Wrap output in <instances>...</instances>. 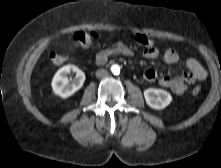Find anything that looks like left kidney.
Here are the masks:
<instances>
[{
  "mask_svg": "<svg viewBox=\"0 0 221 168\" xmlns=\"http://www.w3.org/2000/svg\"><path fill=\"white\" fill-rule=\"evenodd\" d=\"M146 103L156 110L164 109L172 101L170 93L163 89L148 88L144 91Z\"/></svg>",
  "mask_w": 221,
  "mask_h": 168,
  "instance_id": "left-kidney-1",
  "label": "left kidney"
}]
</instances>
